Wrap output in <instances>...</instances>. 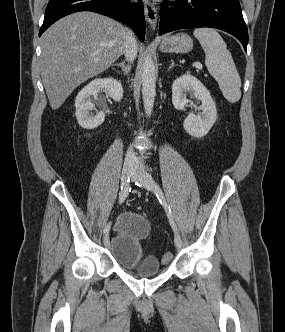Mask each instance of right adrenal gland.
Returning <instances> with one entry per match:
<instances>
[{
  "instance_id": "right-adrenal-gland-1",
  "label": "right adrenal gland",
  "mask_w": 285,
  "mask_h": 332,
  "mask_svg": "<svg viewBox=\"0 0 285 332\" xmlns=\"http://www.w3.org/2000/svg\"><path fill=\"white\" fill-rule=\"evenodd\" d=\"M114 66L121 67L123 73L126 74V75L130 72V69H131V65L130 64H125V62L116 63V64H114Z\"/></svg>"
}]
</instances>
